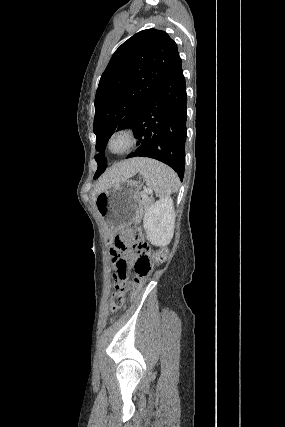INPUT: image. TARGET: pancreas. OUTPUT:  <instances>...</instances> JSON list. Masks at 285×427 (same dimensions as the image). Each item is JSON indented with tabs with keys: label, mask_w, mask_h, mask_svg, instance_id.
<instances>
[{
	"label": "pancreas",
	"mask_w": 285,
	"mask_h": 427,
	"mask_svg": "<svg viewBox=\"0 0 285 427\" xmlns=\"http://www.w3.org/2000/svg\"><path fill=\"white\" fill-rule=\"evenodd\" d=\"M151 202H152V199L150 198H146L142 200V202L139 205V212H138L137 218L135 220H139L143 216L144 212L146 211V209L148 208Z\"/></svg>",
	"instance_id": "1"
}]
</instances>
